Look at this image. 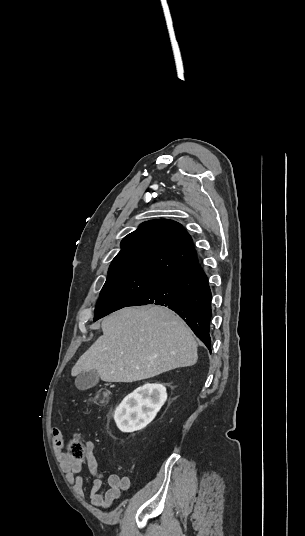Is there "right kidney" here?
<instances>
[{"label": "right kidney", "mask_w": 305, "mask_h": 536, "mask_svg": "<svg viewBox=\"0 0 305 536\" xmlns=\"http://www.w3.org/2000/svg\"><path fill=\"white\" fill-rule=\"evenodd\" d=\"M167 400V392L162 384H144L133 394L124 398L118 406L114 420L121 432L142 430L154 420L157 412Z\"/></svg>", "instance_id": "1"}]
</instances>
